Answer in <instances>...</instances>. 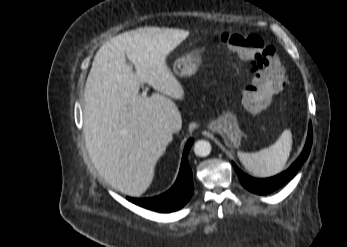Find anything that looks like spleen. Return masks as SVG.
Wrapping results in <instances>:
<instances>
[{
    "instance_id": "obj_1",
    "label": "spleen",
    "mask_w": 347,
    "mask_h": 247,
    "mask_svg": "<svg viewBox=\"0 0 347 247\" xmlns=\"http://www.w3.org/2000/svg\"><path fill=\"white\" fill-rule=\"evenodd\" d=\"M292 132L286 129L278 140L268 148L255 153L238 152L245 169L257 177H270L281 172L292 150Z\"/></svg>"
}]
</instances>
